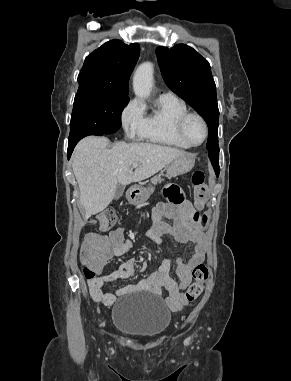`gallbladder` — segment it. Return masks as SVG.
I'll return each instance as SVG.
<instances>
[{"mask_svg":"<svg viewBox=\"0 0 291 381\" xmlns=\"http://www.w3.org/2000/svg\"><path fill=\"white\" fill-rule=\"evenodd\" d=\"M124 189H125L124 185H122V184L117 185V189L115 192V198L116 199L120 198L123 195Z\"/></svg>","mask_w":291,"mask_h":381,"instance_id":"bac80fb5","label":"gallbladder"}]
</instances>
